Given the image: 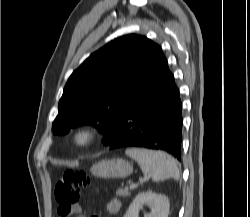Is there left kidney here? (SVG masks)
<instances>
[{
  "mask_svg": "<svg viewBox=\"0 0 250 217\" xmlns=\"http://www.w3.org/2000/svg\"><path fill=\"white\" fill-rule=\"evenodd\" d=\"M145 204L151 208V213L146 217H168L170 207L169 199L165 195L156 194L152 191L138 194L129 206L124 217H138L140 209Z\"/></svg>",
  "mask_w": 250,
  "mask_h": 217,
  "instance_id": "left-kidney-1",
  "label": "left kidney"
}]
</instances>
